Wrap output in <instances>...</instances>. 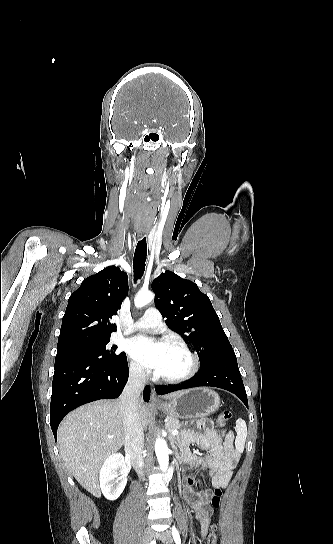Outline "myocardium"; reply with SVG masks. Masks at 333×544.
Here are the masks:
<instances>
[{"mask_svg":"<svg viewBox=\"0 0 333 544\" xmlns=\"http://www.w3.org/2000/svg\"><path fill=\"white\" fill-rule=\"evenodd\" d=\"M169 345L176 347L180 350H182L190 359V366L186 372L179 376H161L159 374H155V377L157 380L168 383V384H178L185 382L192 377H194L200 368V359L198 355L182 340L174 339L169 341Z\"/></svg>","mask_w":333,"mask_h":544,"instance_id":"1","label":"myocardium"}]
</instances>
